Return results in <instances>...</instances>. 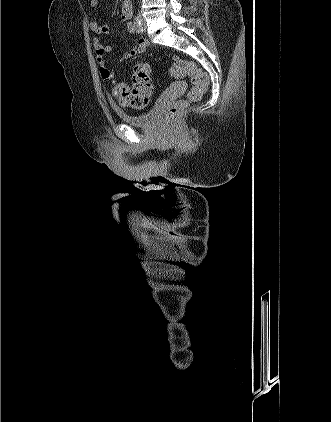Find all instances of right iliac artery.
I'll use <instances>...</instances> for the list:
<instances>
[{"label": "right iliac artery", "mask_w": 331, "mask_h": 422, "mask_svg": "<svg viewBox=\"0 0 331 422\" xmlns=\"http://www.w3.org/2000/svg\"><path fill=\"white\" fill-rule=\"evenodd\" d=\"M134 25L137 33H143V27L139 16H135L134 18Z\"/></svg>", "instance_id": "82829eb1"}]
</instances>
